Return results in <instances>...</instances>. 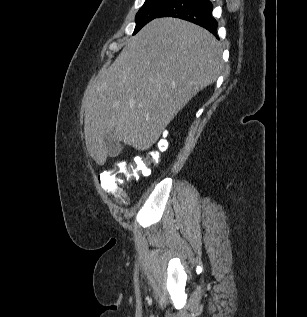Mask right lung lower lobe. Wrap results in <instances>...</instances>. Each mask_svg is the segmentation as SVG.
Segmentation results:
<instances>
[{"mask_svg": "<svg viewBox=\"0 0 307 317\" xmlns=\"http://www.w3.org/2000/svg\"><path fill=\"white\" fill-rule=\"evenodd\" d=\"M209 0H173L157 17H175L200 25L216 35L218 23ZM217 36V35H216Z\"/></svg>", "mask_w": 307, "mask_h": 317, "instance_id": "1", "label": "right lung lower lobe"}]
</instances>
